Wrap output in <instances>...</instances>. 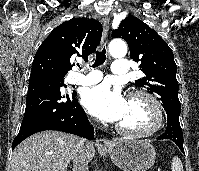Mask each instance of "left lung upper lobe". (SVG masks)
Segmentation results:
<instances>
[{
    "instance_id": "1",
    "label": "left lung upper lobe",
    "mask_w": 199,
    "mask_h": 171,
    "mask_svg": "<svg viewBox=\"0 0 199 171\" xmlns=\"http://www.w3.org/2000/svg\"><path fill=\"white\" fill-rule=\"evenodd\" d=\"M114 38L124 39L130 50V58L140 64L145 76L136 85L151 94L158 95L166 113L180 115L177 66L167 43L140 19L130 15L112 31Z\"/></svg>"
}]
</instances>
